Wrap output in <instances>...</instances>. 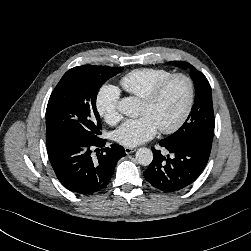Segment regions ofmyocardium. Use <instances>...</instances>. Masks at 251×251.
<instances>
[{"instance_id": "f54148a6", "label": "myocardium", "mask_w": 251, "mask_h": 251, "mask_svg": "<svg viewBox=\"0 0 251 251\" xmlns=\"http://www.w3.org/2000/svg\"><path fill=\"white\" fill-rule=\"evenodd\" d=\"M176 80H183L187 86V101L182 111L180 117L175 123L166 127H159V131L163 134H172L179 130L184 123L187 121L195 100V86L194 82L190 76L184 73H176L170 76L168 79L163 81L157 87H155L145 98H143V103L148 106L154 105L164 94V92L170 87V85Z\"/></svg>"}]
</instances>
